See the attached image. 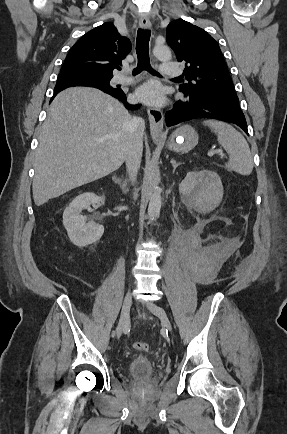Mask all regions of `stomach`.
Wrapping results in <instances>:
<instances>
[{
	"mask_svg": "<svg viewBox=\"0 0 287 434\" xmlns=\"http://www.w3.org/2000/svg\"><path fill=\"white\" fill-rule=\"evenodd\" d=\"M198 143V134L190 126L184 125L174 131L167 141V147L174 152H187Z\"/></svg>",
	"mask_w": 287,
	"mask_h": 434,
	"instance_id": "stomach-1",
	"label": "stomach"
}]
</instances>
